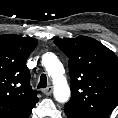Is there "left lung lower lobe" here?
<instances>
[{"label": "left lung lower lobe", "instance_id": "0a47b994", "mask_svg": "<svg viewBox=\"0 0 118 118\" xmlns=\"http://www.w3.org/2000/svg\"><path fill=\"white\" fill-rule=\"evenodd\" d=\"M66 115H67L68 118H81V117L74 116V115H71V114H68V113H66Z\"/></svg>", "mask_w": 118, "mask_h": 118}]
</instances>
